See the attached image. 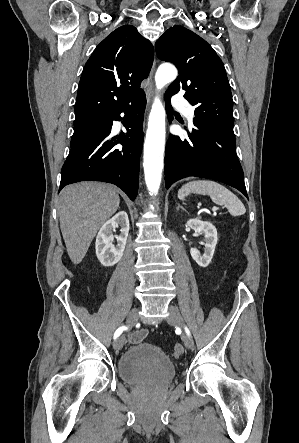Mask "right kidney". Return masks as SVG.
<instances>
[{
  "instance_id": "right-kidney-1",
  "label": "right kidney",
  "mask_w": 299,
  "mask_h": 443,
  "mask_svg": "<svg viewBox=\"0 0 299 443\" xmlns=\"http://www.w3.org/2000/svg\"><path fill=\"white\" fill-rule=\"evenodd\" d=\"M118 226L121 227V234L116 237L117 244H112V231ZM129 233V219L124 211L118 212L108 220L98 232L96 237L95 249L98 260L103 266H113L120 261L123 256L127 237Z\"/></svg>"
}]
</instances>
